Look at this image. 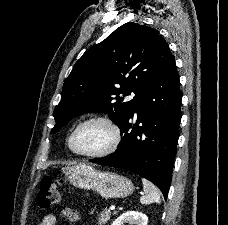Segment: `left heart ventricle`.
I'll return each instance as SVG.
<instances>
[{
    "label": "left heart ventricle",
    "instance_id": "b2bd125f",
    "mask_svg": "<svg viewBox=\"0 0 228 225\" xmlns=\"http://www.w3.org/2000/svg\"><path fill=\"white\" fill-rule=\"evenodd\" d=\"M111 134L104 125L92 122L79 128L72 137V148L79 152H96L106 149Z\"/></svg>",
    "mask_w": 228,
    "mask_h": 225
}]
</instances>
